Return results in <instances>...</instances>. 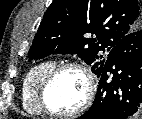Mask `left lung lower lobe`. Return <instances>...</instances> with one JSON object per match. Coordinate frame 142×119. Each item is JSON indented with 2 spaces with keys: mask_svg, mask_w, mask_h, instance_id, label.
Masks as SVG:
<instances>
[{
  "mask_svg": "<svg viewBox=\"0 0 142 119\" xmlns=\"http://www.w3.org/2000/svg\"><path fill=\"white\" fill-rule=\"evenodd\" d=\"M96 98L78 119H126L142 109V29L125 35L108 54Z\"/></svg>",
  "mask_w": 142,
  "mask_h": 119,
  "instance_id": "obj_1",
  "label": "left lung lower lobe"
}]
</instances>
